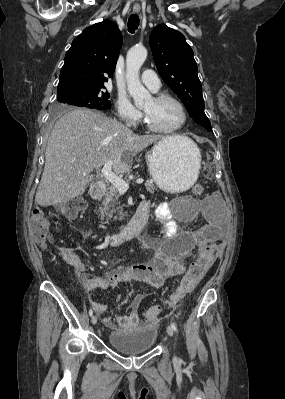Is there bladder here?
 Segmentation results:
<instances>
[{
  "instance_id": "31cf9c89",
  "label": "bladder",
  "mask_w": 285,
  "mask_h": 399,
  "mask_svg": "<svg viewBox=\"0 0 285 399\" xmlns=\"http://www.w3.org/2000/svg\"><path fill=\"white\" fill-rule=\"evenodd\" d=\"M181 200H192L187 196ZM157 331L153 326L135 327L121 332H112L107 336L110 347L125 356H138L150 351L156 341Z\"/></svg>"
}]
</instances>
